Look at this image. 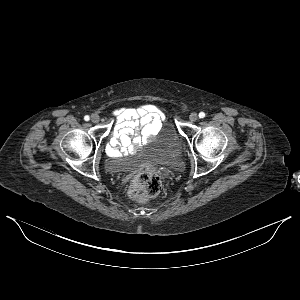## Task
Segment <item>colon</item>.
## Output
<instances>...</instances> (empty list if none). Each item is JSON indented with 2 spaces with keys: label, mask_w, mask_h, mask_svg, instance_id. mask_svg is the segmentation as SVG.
<instances>
[{
  "label": "colon",
  "mask_w": 300,
  "mask_h": 300,
  "mask_svg": "<svg viewBox=\"0 0 300 300\" xmlns=\"http://www.w3.org/2000/svg\"><path fill=\"white\" fill-rule=\"evenodd\" d=\"M161 189L160 177L152 171L143 170L132 179L128 193L133 200L145 202L157 196Z\"/></svg>",
  "instance_id": "colon-1"
}]
</instances>
